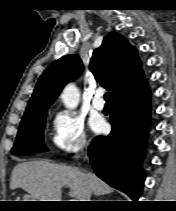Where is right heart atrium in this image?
<instances>
[{"mask_svg": "<svg viewBox=\"0 0 176 211\" xmlns=\"http://www.w3.org/2000/svg\"><path fill=\"white\" fill-rule=\"evenodd\" d=\"M51 143L63 153H77L87 146L84 121L74 112L61 110L52 119Z\"/></svg>", "mask_w": 176, "mask_h": 211, "instance_id": "right-heart-atrium-1", "label": "right heart atrium"}]
</instances>
